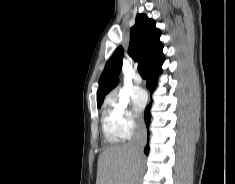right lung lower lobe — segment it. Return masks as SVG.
<instances>
[{"mask_svg":"<svg viewBox=\"0 0 235 184\" xmlns=\"http://www.w3.org/2000/svg\"><path fill=\"white\" fill-rule=\"evenodd\" d=\"M164 59H161L160 61H158L157 63L153 64L152 66H149L146 71H147V75H148V79H147V84H146V87L148 88V90L150 91V93L153 92V90L155 89L156 87V82H157V79H158V76L159 74L161 73V69H160V66L162 65V63L164 62ZM150 108H151V105L149 104L146 109H145V114H144V118H145V123H146V126L148 127L149 126V123H150V117H151V114H150ZM148 137H149V132H148ZM144 152L146 154H148L149 152V145L147 144L145 149H144Z\"/></svg>","mask_w":235,"mask_h":184,"instance_id":"98d812e1","label":"right lung lower lobe"}]
</instances>
